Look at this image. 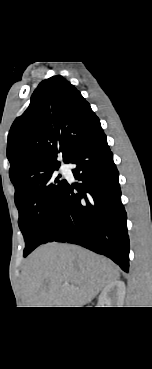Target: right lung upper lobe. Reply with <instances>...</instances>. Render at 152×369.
Segmentation results:
<instances>
[{"instance_id": "1", "label": "right lung upper lobe", "mask_w": 152, "mask_h": 369, "mask_svg": "<svg viewBox=\"0 0 152 369\" xmlns=\"http://www.w3.org/2000/svg\"><path fill=\"white\" fill-rule=\"evenodd\" d=\"M101 128L81 93L62 76L42 81L27 110L9 131L7 157L15 197L48 170L68 163L75 151Z\"/></svg>"}]
</instances>
